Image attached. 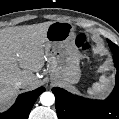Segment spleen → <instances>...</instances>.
Wrapping results in <instances>:
<instances>
[{
  "label": "spleen",
  "mask_w": 119,
  "mask_h": 119,
  "mask_svg": "<svg viewBox=\"0 0 119 119\" xmlns=\"http://www.w3.org/2000/svg\"><path fill=\"white\" fill-rule=\"evenodd\" d=\"M106 88V78L101 77L99 82H96L92 85V87L88 90L90 95H99Z\"/></svg>",
  "instance_id": "obj_1"
}]
</instances>
